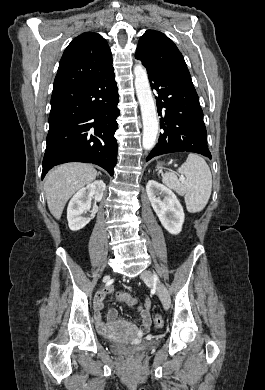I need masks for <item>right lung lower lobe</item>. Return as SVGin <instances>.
I'll return each instance as SVG.
<instances>
[{"mask_svg":"<svg viewBox=\"0 0 265 390\" xmlns=\"http://www.w3.org/2000/svg\"><path fill=\"white\" fill-rule=\"evenodd\" d=\"M118 102L113 67L84 82L53 91L42 179L53 166L66 162L94 163L113 175Z\"/></svg>","mask_w":265,"mask_h":390,"instance_id":"right-lung-lower-lobe-1","label":"right lung lower lobe"}]
</instances>
